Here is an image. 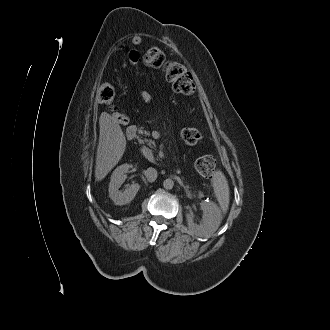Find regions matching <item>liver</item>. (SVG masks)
<instances>
[{
    "label": "liver",
    "mask_w": 330,
    "mask_h": 330,
    "mask_svg": "<svg viewBox=\"0 0 330 330\" xmlns=\"http://www.w3.org/2000/svg\"><path fill=\"white\" fill-rule=\"evenodd\" d=\"M100 135L96 154L95 179L101 181L122 158L126 139L120 125L109 114L99 118Z\"/></svg>",
    "instance_id": "liver-1"
}]
</instances>
